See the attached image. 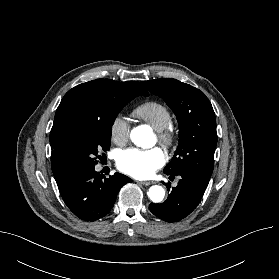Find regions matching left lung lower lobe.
Masks as SVG:
<instances>
[{"mask_svg": "<svg viewBox=\"0 0 279 279\" xmlns=\"http://www.w3.org/2000/svg\"><path fill=\"white\" fill-rule=\"evenodd\" d=\"M167 175L173 177L172 174ZM179 176L181 179L178 185L172 188L164 203L149 205L150 211L166 222H178L187 217L199 204L209 183L188 173ZM166 185L170 190V183Z\"/></svg>", "mask_w": 279, "mask_h": 279, "instance_id": "0a47b994", "label": "left lung lower lobe"}]
</instances>
